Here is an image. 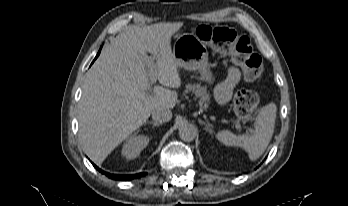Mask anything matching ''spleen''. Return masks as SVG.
Listing matches in <instances>:
<instances>
[{
    "label": "spleen",
    "instance_id": "3e777b00",
    "mask_svg": "<svg viewBox=\"0 0 348 206\" xmlns=\"http://www.w3.org/2000/svg\"><path fill=\"white\" fill-rule=\"evenodd\" d=\"M275 119L276 105L270 103L260 109L252 134L235 135L229 130H222L216 134V138L225 146L243 148L250 160H256L264 153L273 136Z\"/></svg>",
    "mask_w": 348,
    "mask_h": 206
}]
</instances>
